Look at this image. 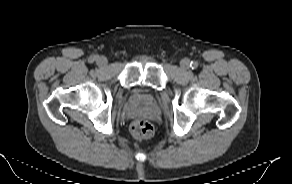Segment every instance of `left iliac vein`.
I'll return each instance as SVG.
<instances>
[{"mask_svg": "<svg viewBox=\"0 0 292 184\" xmlns=\"http://www.w3.org/2000/svg\"><path fill=\"white\" fill-rule=\"evenodd\" d=\"M189 60L188 59H183L180 62V66L183 70H187L189 68Z\"/></svg>", "mask_w": 292, "mask_h": 184, "instance_id": "left-iliac-vein-1", "label": "left iliac vein"}]
</instances>
